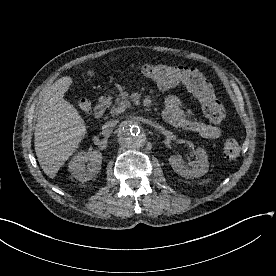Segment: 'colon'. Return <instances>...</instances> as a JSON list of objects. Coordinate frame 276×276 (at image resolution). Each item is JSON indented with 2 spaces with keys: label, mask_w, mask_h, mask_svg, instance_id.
Returning a JSON list of instances; mask_svg holds the SVG:
<instances>
[{
  "label": "colon",
  "mask_w": 276,
  "mask_h": 276,
  "mask_svg": "<svg viewBox=\"0 0 276 276\" xmlns=\"http://www.w3.org/2000/svg\"><path fill=\"white\" fill-rule=\"evenodd\" d=\"M140 72L163 88L177 85L186 86L199 100L205 117L214 124L225 119V109L215 94L210 80L198 69L190 66H171L165 64H142ZM80 109L89 113L91 105L83 100ZM240 153V146L234 138H228L223 143L222 154L226 159H234Z\"/></svg>",
  "instance_id": "colon-1"
}]
</instances>
